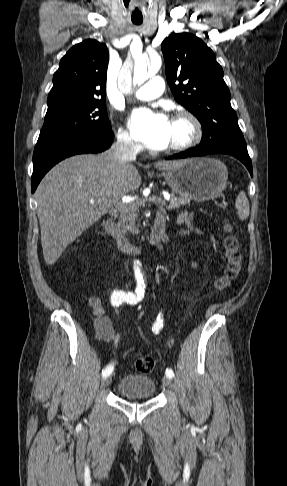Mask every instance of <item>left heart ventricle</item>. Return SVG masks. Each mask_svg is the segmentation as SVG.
<instances>
[{
  "mask_svg": "<svg viewBox=\"0 0 287 486\" xmlns=\"http://www.w3.org/2000/svg\"><path fill=\"white\" fill-rule=\"evenodd\" d=\"M189 136V127L183 121H171L170 126V137H169V144L168 147L183 142Z\"/></svg>",
  "mask_w": 287,
  "mask_h": 486,
  "instance_id": "left-heart-ventricle-1",
  "label": "left heart ventricle"
}]
</instances>
